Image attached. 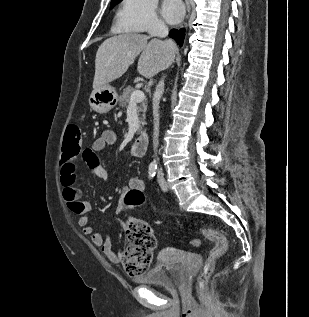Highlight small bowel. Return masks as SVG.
<instances>
[{
	"instance_id": "obj_1",
	"label": "small bowel",
	"mask_w": 309,
	"mask_h": 317,
	"mask_svg": "<svg viewBox=\"0 0 309 317\" xmlns=\"http://www.w3.org/2000/svg\"><path fill=\"white\" fill-rule=\"evenodd\" d=\"M116 141L117 135L115 131L108 129L103 131L101 136L94 140L91 148L86 149L83 152V160L92 176L101 178L103 180L108 179V173L102 166L98 153L104 151L107 146L114 145ZM61 176L63 197L66 201L67 208L76 218L77 225L81 228L82 233L85 236H89L92 243L99 247L102 253L112 263H118L120 261V257L114 251L112 241L109 236L94 231L92 226L89 224V212L91 211V204L89 201L82 198V193L77 183L75 164L73 162H69L63 165L61 168ZM132 190L144 192L145 185L143 181L137 177H133L129 180L127 187L123 189L122 200L114 217L121 223L124 229L126 228V224L121 220V217L127 211L125 196L129 191Z\"/></svg>"
}]
</instances>
